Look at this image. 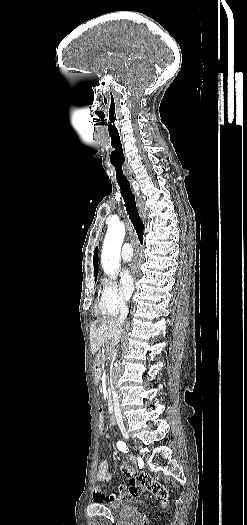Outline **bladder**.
I'll list each match as a JSON object with an SVG mask.
<instances>
[{
  "label": "bladder",
  "instance_id": "31cf9c89",
  "mask_svg": "<svg viewBox=\"0 0 247 525\" xmlns=\"http://www.w3.org/2000/svg\"><path fill=\"white\" fill-rule=\"evenodd\" d=\"M119 506H121V504L116 502L105 503V507L111 512L119 511Z\"/></svg>",
  "mask_w": 247,
  "mask_h": 525
}]
</instances>
